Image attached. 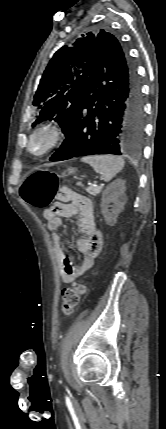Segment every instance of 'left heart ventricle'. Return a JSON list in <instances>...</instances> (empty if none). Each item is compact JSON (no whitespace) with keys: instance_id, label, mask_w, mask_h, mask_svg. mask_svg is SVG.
Listing matches in <instances>:
<instances>
[{"instance_id":"obj_1","label":"left heart ventricle","mask_w":166,"mask_h":429,"mask_svg":"<svg viewBox=\"0 0 166 429\" xmlns=\"http://www.w3.org/2000/svg\"><path fill=\"white\" fill-rule=\"evenodd\" d=\"M44 146V140L43 139H36L34 140L32 147L34 150L41 149Z\"/></svg>"}]
</instances>
